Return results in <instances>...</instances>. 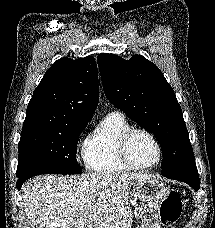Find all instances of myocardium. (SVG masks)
Listing matches in <instances>:
<instances>
[{
  "mask_svg": "<svg viewBox=\"0 0 215 228\" xmlns=\"http://www.w3.org/2000/svg\"><path fill=\"white\" fill-rule=\"evenodd\" d=\"M136 133L145 134L154 143L156 150H157V158L154 163L147 165V166H137L131 162L130 157H129L128 147H129V143H130L132 137ZM117 153H118L121 163L127 169L137 170V171H146V170H151L160 164V162L162 160V156H163V149H162V146H161L158 138L150 130L142 128V127H131L128 130H126L119 137L118 142H117Z\"/></svg>",
  "mask_w": 215,
  "mask_h": 228,
  "instance_id": "obj_1",
  "label": "myocardium"
}]
</instances>
